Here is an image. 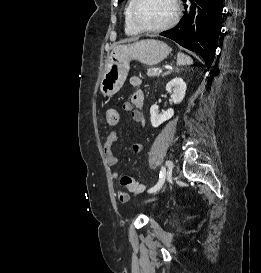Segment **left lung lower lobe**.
I'll use <instances>...</instances> for the list:
<instances>
[{"instance_id":"obj_1","label":"left lung lower lobe","mask_w":261,"mask_h":273,"mask_svg":"<svg viewBox=\"0 0 261 273\" xmlns=\"http://www.w3.org/2000/svg\"><path fill=\"white\" fill-rule=\"evenodd\" d=\"M195 2L189 8L185 5V14L176 27L160 35L198 53L207 67H210L222 26L223 2L222 0H195Z\"/></svg>"}]
</instances>
